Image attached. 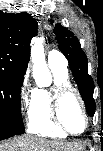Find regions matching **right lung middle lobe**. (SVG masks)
I'll return each mask as SVG.
<instances>
[{
    "instance_id": "dd1d6c3e",
    "label": "right lung middle lobe",
    "mask_w": 103,
    "mask_h": 151,
    "mask_svg": "<svg viewBox=\"0 0 103 151\" xmlns=\"http://www.w3.org/2000/svg\"><path fill=\"white\" fill-rule=\"evenodd\" d=\"M23 76L0 69V136L25 132L20 108Z\"/></svg>"
}]
</instances>
